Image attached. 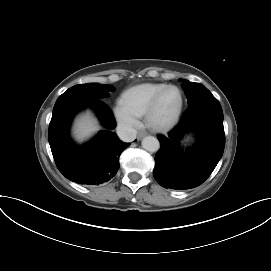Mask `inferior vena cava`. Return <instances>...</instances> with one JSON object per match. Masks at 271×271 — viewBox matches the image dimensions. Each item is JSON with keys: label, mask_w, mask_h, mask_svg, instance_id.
<instances>
[{"label": "inferior vena cava", "mask_w": 271, "mask_h": 271, "mask_svg": "<svg viewBox=\"0 0 271 271\" xmlns=\"http://www.w3.org/2000/svg\"><path fill=\"white\" fill-rule=\"evenodd\" d=\"M117 135L123 142H131L135 140L137 131L130 126L121 125L117 127Z\"/></svg>", "instance_id": "obj_1"}]
</instances>
